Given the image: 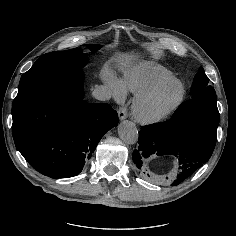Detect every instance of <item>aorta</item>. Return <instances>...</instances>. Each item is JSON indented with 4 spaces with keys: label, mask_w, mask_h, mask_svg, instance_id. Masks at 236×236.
Listing matches in <instances>:
<instances>
[{
    "label": "aorta",
    "mask_w": 236,
    "mask_h": 236,
    "mask_svg": "<svg viewBox=\"0 0 236 236\" xmlns=\"http://www.w3.org/2000/svg\"><path fill=\"white\" fill-rule=\"evenodd\" d=\"M118 134L126 144H135L138 141V130L136 125L128 120L121 122L118 126Z\"/></svg>",
    "instance_id": "aorta-1"
}]
</instances>
